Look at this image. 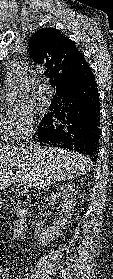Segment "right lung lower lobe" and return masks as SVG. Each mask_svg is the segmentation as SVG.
Instances as JSON below:
<instances>
[{
	"label": "right lung lower lobe",
	"instance_id": "1",
	"mask_svg": "<svg viewBox=\"0 0 113 279\" xmlns=\"http://www.w3.org/2000/svg\"><path fill=\"white\" fill-rule=\"evenodd\" d=\"M61 103L47 114L37 129L41 145L68 148L97 160L100 104L91 68L75 83L57 93Z\"/></svg>",
	"mask_w": 113,
	"mask_h": 279
}]
</instances>
